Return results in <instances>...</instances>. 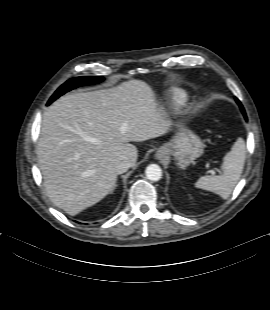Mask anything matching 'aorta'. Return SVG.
Segmentation results:
<instances>
[{
  "instance_id": "obj_1",
  "label": "aorta",
  "mask_w": 270,
  "mask_h": 310,
  "mask_svg": "<svg viewBox=\"0 0 270 310\" xmlns=\"http://www.w3.org/2000/svg\"><path fill=\"white\" fill-rule=\"evenodd\" d=\"M146 177L151 181H159L162 178V170L157 164H150L145 170Z\"/></svg>"
}]
</instances>
